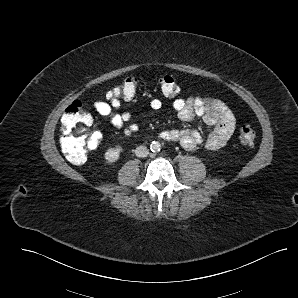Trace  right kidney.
I'll return each mask as SVG.
<instances>
[{"instance_id":"right-kidney-1","label":"right kidney","mask_w":298,"mask_h":298,"mask_svg":"<svg viewBox=\"0 0 298 298\" xmlns=\"http://www.w3.org/2000/svg\"><path fill=\"white\" fill-rule=\"evenodd\" d=\"M124 151V147L120 144L115 145L112 148H108L105 152H104V160L109 163H116L119 161L120 157H121V153Z\"/></svg>"}]
</instances>
